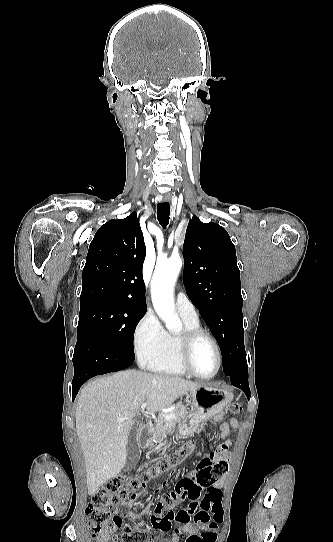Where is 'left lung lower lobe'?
Instances as JSON below:
<instances>
[{
	"instance_id": "0a47b994",
	"label": "left lung lower lobe",
	"mask_w": 333,
	"mask_h": 542,
	"mask_svg": "<svg viewBox=\"0 0 333 542\" xmlns=\"http://www.w3.org/2000/svg\"><path fill=\"white\" fill-rule=\"evenodd\" d=\"M231 383L241 389L247 396L248 400L250 399V389L248 385V366L247 362L236 369L232 370L230 374L226 375Z\"/></svg>"
}]
</instances>
